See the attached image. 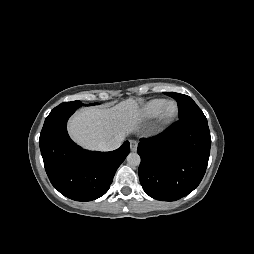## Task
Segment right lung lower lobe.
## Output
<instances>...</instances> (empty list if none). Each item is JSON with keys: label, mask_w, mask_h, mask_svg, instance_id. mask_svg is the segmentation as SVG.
<instances>
[{"label": "right lung lower lobe", "mask_w": 254, "mask_h": 254, "mask_svg": "<svg viewBox=\"0 0 254 254\" xmlns=\"http://www.w3.org/2000/svg\"><path fill=\"white\" fill-rule=\"evenodd\" d=\"M78 105L60 104L47 116L39 145L52 185L76 201H91L104 195L120 164L130 152L124 142L111 152L84 150L68 136L66 123Z\"/></svg>", "instance_id": "obj_1"}]
</instances>
